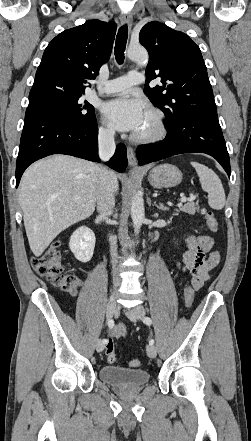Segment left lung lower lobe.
<instances>
[{"mask_svg":"<svg viewBox=\"0 0 251 441\" xmlns=\"http://www.w3.org/2000/svg\"><path fill=\"white\" fill-rule=\"evenodd\" d=\"M167 130L161 142L138 146L139 165L177 154L201 152L214 157L230 177L229 154L217 113L183 115Z\"/></svg>","mask_w":251,"mask_h":441,"instance_id":"obj_1","label":"left lung lower lobe"}]
</instances>
